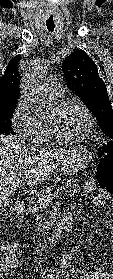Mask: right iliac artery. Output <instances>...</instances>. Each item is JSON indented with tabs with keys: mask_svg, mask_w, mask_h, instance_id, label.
I'll list each match as a JSON object with an SVG mask.
<instances>
[{
	"mask_svg": "<svg viewBox=\"0 0 113 279\" xmlns=\"http://www.w3.org/2000/svg\"><path fill=\"white\" fill-rule=\"evenodd\" d=\"M58 273H60V272H58ZM44 275H45V273H42V276H44ZM54 276H55V274L53 272L48 273L47 274V279H54Z\"/></svg>",
	"mask_w": 113,
	"mask_h": 279,
	"instance_id": "82829eb1",
	"label": "right iliac artery"
}]
</instances>
